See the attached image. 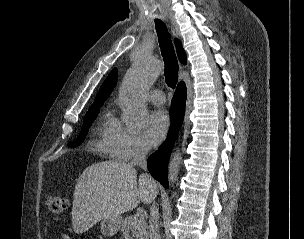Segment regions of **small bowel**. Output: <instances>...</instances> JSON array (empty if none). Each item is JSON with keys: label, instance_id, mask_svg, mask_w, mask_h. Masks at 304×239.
Listing matches in <instances>:
<instances>
[{"label": "small bowel", "instance_id": "1", "mask_svg": "<svg viewBox=\"0 0 304 239\" xmlns=\"http://www.w3.org/2000/svg\"><path fill=\"white\" fill-rule=\"evenodd\" d=\"M60 239H71V237L68 234L61 233L60 234Z\"/></svg>", "mask_w": 304, "mask_h": 239}]
</instances>
